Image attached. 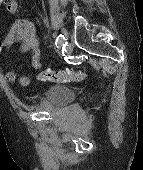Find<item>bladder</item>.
I'll return each instance as SVG.
<instances>
[{"mask_svg":"<svg viewBox=\"0 0 143 170\" xmlns=\"http://www.w3.org/2000/svg\"><path fill=\"white\" fill-rule=\"evenodd\" d=\"M74 92L71 88L60 85L49 86L45 92V99L52 108H62L74 100Z\"/></svg>","mask_w":143,"mask_h":170,"instance_id":"31cf9c89","label":"bladder"}]
</instances>
